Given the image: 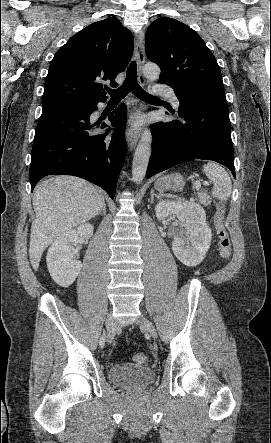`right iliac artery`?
Returning <instances> with one entry per match:
<instances>
[{
  "label": "right iliac artery",
  "instance_id": "1",
  "mask_svg": "<svg viewBox=\"0 0 271 443\" xmlns=\"http://www.w3.org/2000/svg\"><path fill=\"white\" fill-rule=\"evenodd\" d=\"M104 343H105V334H103V335L100 337V341H99V345H100V347H103V346H104Z\"/></svg>",
  "mask_w": 271,
  "mask_h": 443
}]
</instances>
